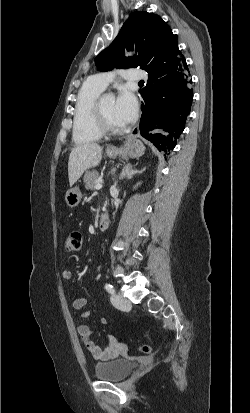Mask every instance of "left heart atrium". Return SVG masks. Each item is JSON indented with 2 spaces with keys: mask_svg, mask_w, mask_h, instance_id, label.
Returning <instances> with one entry per match:
<instances>
[{
  "mask_svg": "<svg viewBox=\"0 0 250 413\" xmlns=\"http://www.w3.org/2000/svg\"><path fill=\"white\" fill-rule=\"evenodd\" d=\"M138 114V102L129 90L119 92L115 101V117L120 125L133 122Z\"/></svg>",
  "mask_w": 250,
  "mask_h": 413,
  "instance_id": "left-heart-atrium-1",
  "label": "left heart atrium"
}]
</instances>
